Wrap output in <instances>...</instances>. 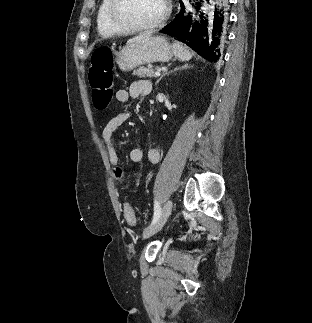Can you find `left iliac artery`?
Masks as SVG:
<instances>
[{"instance_id": "44dca946", "label": "left iliac artery", "mask_w": 312, "mask_h": 323, "mask_svg": "<svg viewBox=\"0 0 312 323\" xmlns=\"http://www.w3.org/2000/svg\"><path fill=\"white\" fill-rule=\"evenodd\" d=\"M161 213V207L158 201H155L154 204V216H153V221L152 223H154L160 216Z\"/></svg>"}]
</instances>
